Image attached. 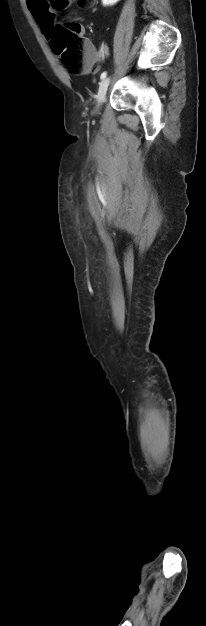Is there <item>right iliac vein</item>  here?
<instances>
[{"label":"right iliac vein","mask_w":206,"mask_h":626,"mask_svg":"<svg viewBox=\"0 0 206 626\" xmlns=\"http://www.w3.org/2000/svg\"><path fill=\"white\" fill-rule=\"evenodd\" d=\"M109 83H110V78H105L100 83L99 90H98V96H97V108H99L104 103V101L106 99V92H107Z\"/></svg>","instance_id":"obj_1"}]
</instances>
